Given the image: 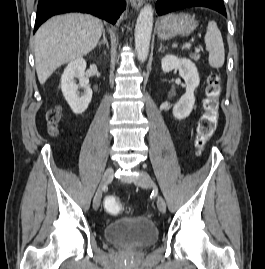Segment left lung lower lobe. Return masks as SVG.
Returning a JSON list of instances; mask_svg holds the SVG:
<instances>
[{"mask_svg":"<svg viewBox=\"0 0 265 269\" xmlns=\"http://www.w3.org/2000/svg\"><path fill=\"white\" fill-rule=\"evenodd\" d=\"M202 6L218 11L227 16L223 0H161L156 3L159 16L184 8Z\"/></svg>","mask_w":265,"mask_h":269,"instance_id":"left-lung-lower-lobe-1","label":"left lung lower lobe"}]
</instances>
